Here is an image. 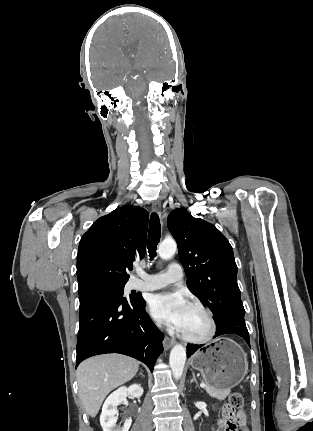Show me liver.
I'll return each instance as SVG.
<instances>
[{"label": "liver", "mask_w": 313, "mask_h": 431, "mask_svg": "<svg viewBox=\"0 0 313 431\" xmlns=\"http://www.w3.org/2000/svg\"><path fill=\"white\" fill-rule=\"evenodd\" d=\"M138 369V361L119 354L100 355L83 361L77 368V381L87 414L95 417L105 397L131 380Z\"/></svg>", "instance_id": "6515ba94"}]
</instances>
